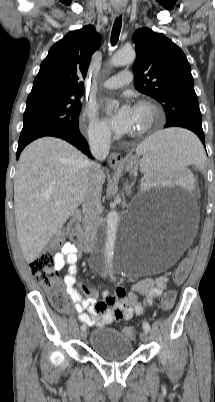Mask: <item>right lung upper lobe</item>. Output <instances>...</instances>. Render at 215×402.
I'll return each mask as SVG.
<instances>
[{"mask_svg": "<svg viewBox=\"0 0 215 402\" xmlns=\"http://www.w3.org/2000/svg\"><path fill=\"white\" fill-rule=\"evenodd\" d=\"M100 34L87 25L54 44L43 60L29 94L57 93L82 95L92 54L99 48Z\"/></svg>", "mask_w": 215, "mask_h": 402, "instance_id": "obj_1", "label": "right lung upper lobe"}]
</instances>
